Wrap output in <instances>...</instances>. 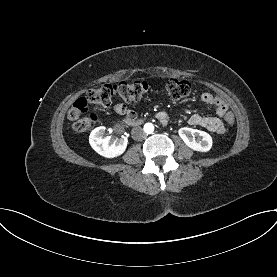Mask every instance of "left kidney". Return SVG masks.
<instances>
[{"mask_svg": "<svg viewBox=\"0 0 277 277\" xmlns=\"http://www.w3.org/2000/svg\"><path fill=\"white\" fill-rule=\"evenodd\" d=\"M178 133L184 143L194 151L208 152L212 147V137L207 132L183 127ZM195 136H199V139L196 140Z\"/></svg>", "mask_w": 277, "mask_h": 277, "instance_id": "1", "label": "left kidney"}]
</instances>
